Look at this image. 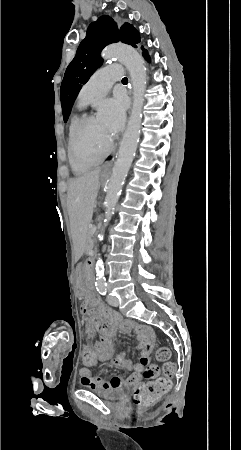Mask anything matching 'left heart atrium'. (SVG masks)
<instances>
[{
	"instance_id": "1",
	"label": "left heart atrium",
	"mask_w": 241,
	"mask_h": 450,
	"mask_svg": "<svg viewBox=\"0 0 241 450\" xmlns=\"http://www.w3.org/2000/svg\"><path fill=\"white\" fill-rule=\"evenodd\" d=\"M109 112L111 113L110 129L114 134L122 130L125 122V110L127 102L124 98H118L107 102Z\"/></svg>"
}]
</instances>
